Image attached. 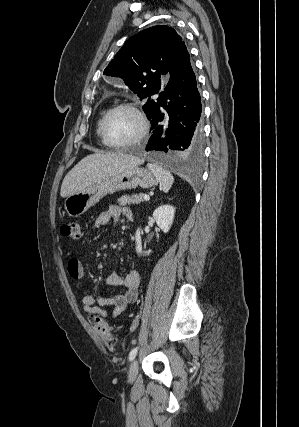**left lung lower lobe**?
Instances as JSON below:
<instances>
[{"instance_id":"obj_1","label":"left lung lower lobe","mask_w":299,"mask_h":427,"mask_svg":"<svg viewBox=\"0 0 299 427\" xmlns=\"http://www.w3.org/2000/svg\"><path fill=\"white\" fill-rule=\"evenodd\" d=\"M169 81L152 107V136L146 151L161 161L201 156L203 130L201 97L190 55L182 41L169 70Z\"/></svg>"}]
</instances>
